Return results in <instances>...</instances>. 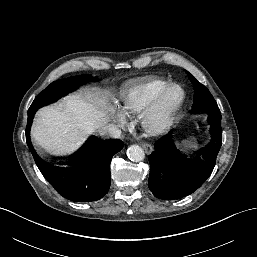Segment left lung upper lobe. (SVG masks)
I'll list each match as a JSON object with an SVG mask.
<instances>
[{"label":"left lung upper lobe","mask_w":257,"mask_h":257,"mask_svg":"<svg viewBox=\"0 0 257 257\" xmlns=\"http://www.w3.org/2000/svg\"><path fill=\"white\" fill-rule=\"evenodd\" d=\"M188 77L193 83L194 97L192 107L196 110L203 111L209 114H220L219 108L216 101L214 100L208 89L198 82L189 72H187Z\"/></svg>","instance_id":"obj_1"}]
</instances>
